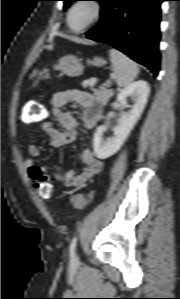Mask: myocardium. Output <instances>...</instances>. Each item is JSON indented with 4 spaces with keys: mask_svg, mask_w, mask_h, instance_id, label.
Masks as SVG:
<instances>
[{
    "mask_svg": "<svg viewBox=\"0 0 180 299\" xmlns=\"http://www.w3.org/2000/svg\"><path fill=\"white\" fill-rule=\"evenodd\" d=\"M86 4L92 9V16L90 20L80 28H73L70 24V17L72 11L79 5ZM103 6L99 0H76L68 9L66 14V24L68 28L74 33H81L96 25L102 18Z\"/></svg>",
    "mask_w": 180,
    "mask_h": 299,
    "instance_id": "f54148a6",
    "label": "myocardium"
}]
</instances>
